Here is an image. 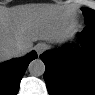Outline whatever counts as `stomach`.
<instances>
[{
	"label": "stomach",
	"mask_w": 95,
	"mask_h": 95,
	"mask_svg": "<svg viewBox=\"0 0 95 95\" xmlns=\"http://www.w3.org/2000/svg\"><path fill=\"white\" fill-rule=\"evenodd\" d=\"M75 32L68 34L64 39H69L74 35Z\"/></svg>",
	"instance_id": "stomach-1"
}]
</instances>
